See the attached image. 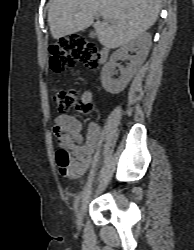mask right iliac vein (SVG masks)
Returning <instances> with one entry per match:
<instances>
[{"instance_id":"63e3f726","label":"right iliac vein","mask_w":194,"mask_h":250,"mask_svg":"<svg viewBox=\"0 0 194 250\" xmlns=\"http://www.w3.org/2000/svg\"><path fill=\"white\" fill-rule=\"evenodd\" d=\"M81 218H82V210L79 209L77 211V226H78V228H80V226H81Z\"/></svg>"}]
</instances>
